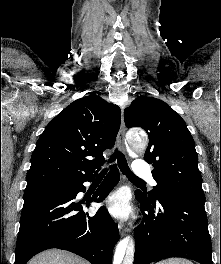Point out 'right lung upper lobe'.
<instances>
[{"label": "right lung upper lobe", "mask_w": 221, "mask_h": 264, "mask_svg": "<svg viewBox=\"0 0 221 264\" xmlns=\"http://www.w3.org/2000/svg\"><path fill=\"white\" fill-rule=\"evenodd\" d=\"M120 118V108L98 95L68 105L38 139L25 190L94 177L95 169L104 162L103 151L115 143Z\"/></svg>", "instance_id": "1"}]
</instances>
